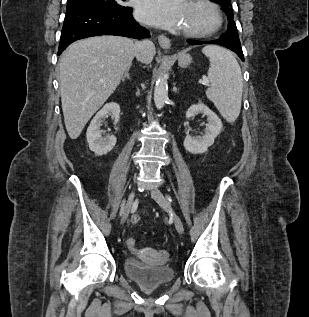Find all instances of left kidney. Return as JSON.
Segmentation results:
<instances>
[{
	"mask_svg": "<svg viewBox=\"0 0 309 317\" xmlns=\"http://www.w3.org/2000/svg\"><path fill=\"white\" fill-rule=\"evenodd\" d=\"M199 113L207 116L208 123L206 124L205 134L197 137L187 135L183 143L184 148L192 154H202L206 152L222 130L220 118L203 103L189 107L186 111V118L190 119Z\"/></svg>",
	"mask_w": 309,
	"mask_h": 317,
	"instance_id": "1",
	"label": "left kidney"
}]
</instances>
